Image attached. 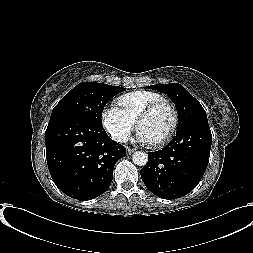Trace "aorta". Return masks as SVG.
<instances>
[{
	"instance_id": "aorta-1",
	"label": "aorta",
	"mask_w": 253,
	"mask_h": 253,
	"mask_svg": "<svg viewBox=\"0 0 253 253\" xmlns=\"http://www.w3.org/2000/svg\"><path fill=\"white\" fill-rule=\"evenodd\" d=\"M132 160L134 164L138 166H145L148 161V155L145 152L142 151H136L132 155Z\"/></svg>"
}]
</instances>
